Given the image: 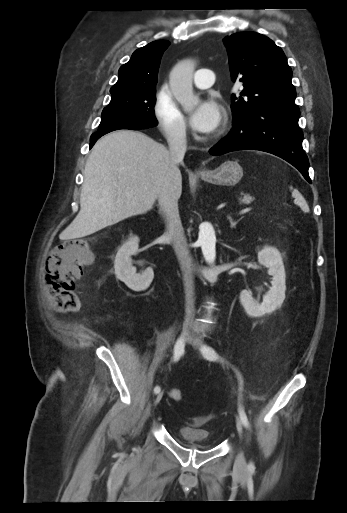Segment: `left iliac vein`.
<instances>
[{
    "label": "left iliac vein",
    "mask_w": 347,
    "mask_h": 513,
    "mask_svg": "<svg viewBox=\"0 0 347 513\" xmlns=\"http://www.w3.org/2000/svg\"><path fill=\"white\" fill-rule=\"evenodd\" d=\"M190 339L192 340L193 344L197 348L200 349V347H202V339L198 335V331L196 329H194V334L192 336H190ZM236 427H237L239 436L242 437L243 423L239 417H236ZM246 466H247V464H246L244 453L242 451H240L235 460V470H236V472L241 473V472L245 471Z\"/></svg>",
    "instance_id": "1"
}]
</instances>
